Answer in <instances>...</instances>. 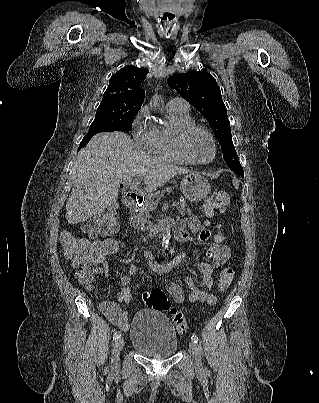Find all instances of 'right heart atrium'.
<instances>
[{"label":"right heart atrium","instance_id":"1","mask_svg":"<svg viewBox=\"0 0 319 403\" xmlns=\"http://www.w3.org/2000/svg\"><path fill=\"white\" fill-rule=\"evenodd\" d=\"M132 136L135 143L143 150L152 152L155 142V126L149 117V109L144 106L134 115L132 122Z\"/></svg>","mask_w":319,"mask_h":403}]
</instances>
